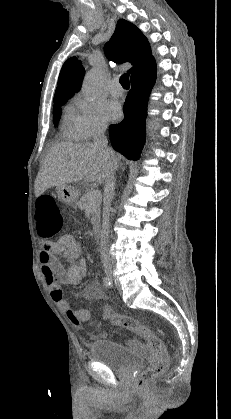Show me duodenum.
Here are the masks:
<instances>
[{
    "label": "duodenum",
    "instance_id": "duodenum-1",
    "mask_svg": "<svg viewBox=\"0 0 231 419\" xmlns=\"http://www.w3.org/2000/svg\"><path fill=\"white\" fill-rule=\"evenodd\" d=\"M92 232L95 238H99L100 237V233H101V226L100 223L98 221H95L92 225Z\"/></svg>",
    "mask_w": 231,
    "mask_h": 419
}]
</instances>
